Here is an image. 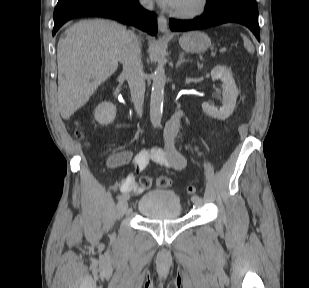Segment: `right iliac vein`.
<instances>
[{"instance_id": "1", "label": "right iliac vein", "mask_w": 309, "mask_h": 288, "mask_svg": "<svg viewBox=\"0 0 309 288\" xmlns=\"http://www.w3.org/2000/svg\"><path fill=\"white\" fill-rule=\"evenodd\" d=\"M127 200H119L118 202V205H117V214H118V217H122L126 211H127V208H128V203H127Z\"/></svg>"}]
</instances>
